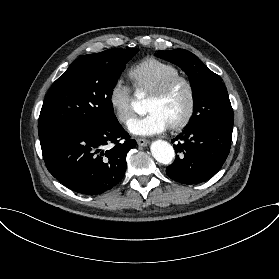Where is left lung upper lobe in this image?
I'll use <instances>...</instances> for the list:
<instances>
[{
    "instance_id": "left-lung-upper-lobe-1",
    "label": "left lung upper lobe",
    "mask_w": 279,
    "mask_h": 279,
    "mask_svg": "<svg viewBox=\"0 0 279 279\" xmlns=\"http://www.w3.org/2000/svg\"><path fill=\"white\" fill-rule=\"evenodd\" d=\"M157 57L178 65L190 78L193 92V115L186 128L215 122L233 125V110L222 78L209 70L193 53L175 49L159 51Z\"/></svg>"
}]
</instances>
